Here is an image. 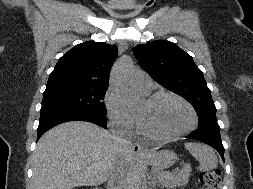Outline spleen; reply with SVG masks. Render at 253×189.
Instances as JSON below:
<instances>
[{
    "label": "spleen",
    "mask_w": 253,
    "mask_h": 189,
    "mask_svg": "<svg viewBox=\"0 0 253 189\" xmlns=\"http://www.w3.org/2000/svg\"><path fill=\"white\" fill-rule=\"evenodd\" d=\"M185 148L199 162L200 171L215 169L218 164L217 156L210 146L201 143L187 142Z\"/></svg>",
    "instance_id": "obj_1"
}]
</instances>
